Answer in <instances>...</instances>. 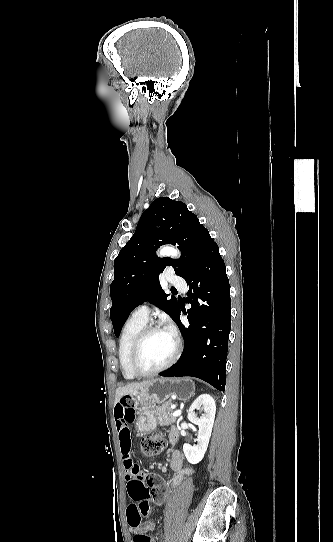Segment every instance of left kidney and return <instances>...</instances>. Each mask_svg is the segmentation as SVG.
I'll return each instance as SVG.
<instances>
[{"label": "left kidney", "mask_w": 333, "mask_h": 542, "mask_svg": "<svg viewBox=\"0 0 333 542\" xmlns=\"http://www.w3.org/2000/svg\"><path fill=\"white\" fill-rule=\"evenodd\" d=\"M195 410H202L204 412L202 418H197ZM215 414L216 404L210 394H201V396L196 398L192 406H190L187 418L189 422L198 426L199 432L197 444H194V446L184 444L183 446V452L189 464H199L203 460L212 434Z\"/></svg>", "instance_id": "obj_1"}]
</instances>
